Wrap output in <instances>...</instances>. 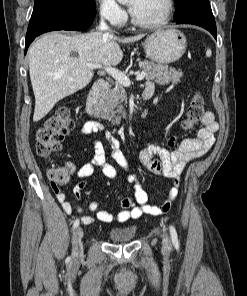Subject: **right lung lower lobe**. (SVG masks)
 <instances>
[{
	"instance_id": "right-lung-lower-lobe-1",
	"label": "right lung lower lobe",
	"mask_w": 247,
	"mask_h": 296,
	"mask_svg": "<svg viewBox=\"0 0 247 296\" xmlns=\"http://www.w3.org/2000/svg\"><path fill=\"white\" fill-rule=\"evenodd\" d=\"M96 13L71 14L64 5L51 8L31 17L25 43V53L31 42L44 32L55 30H85L92 24Z\"/></svg>"
}]
</instances>
